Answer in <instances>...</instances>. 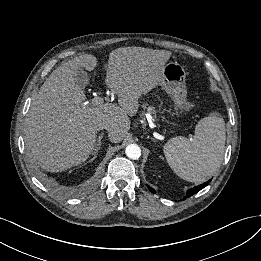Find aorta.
Returning <instances> with one entry per match:
<instances>
[{"label":"aorta","instance_id":"1","mask_svg":"<svg viewBox=\"0 0 261 261\" xmlns=\"http://www.w3.org/2000/svg\"><path fill=\"white\" fill-rule=\"evenodd\" d=\"M125 153L128 158L137 160L141 156V149L136 144H129L125 149Z\"/></svg>","mask_w":261,"mask_h":261}]
</instances>
